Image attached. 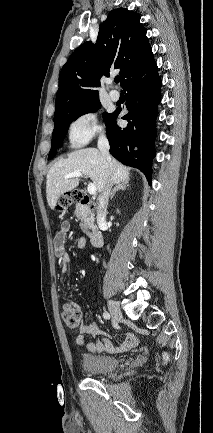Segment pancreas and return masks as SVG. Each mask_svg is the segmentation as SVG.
<instances>
[{"label":"pancreas","mask_w":213,"mask_h":433,"mask_svg":"<svg viewBox=\"0 0 213 433\" xmlns=\"http://www.w3.org/2000/svg\"><path fill=\"white\" fill-rule=\"evenodd\" d=\"M76 218L80 221L82 231L89 234V230L94 226V213L87 206L78 204L75 211Z\"/></svg>","instance_id":"cf45deb5"}]
</instances>
